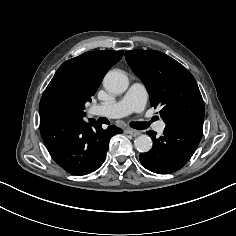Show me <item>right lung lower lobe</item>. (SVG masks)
<instances>
[{"instance_id":"obj_1","label":"right lung lower lobe","mask_w":236,"mask_h":236,"mask_svg":"<svg viewBox=\"0 0 236 236\" xmlns=\"http://www.w3.org/2000/svg\"><path fill=\"white\" fill-rule=\"evenodd\" d=\"M87 123L56 109L40 113V131L53 160L73 175H86L105 160L112 136L122 133L115 126L106 130L94 119Z\"/></svg>"}]
</instances>
